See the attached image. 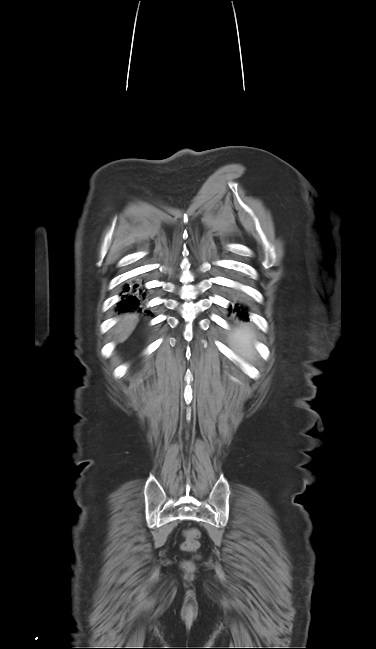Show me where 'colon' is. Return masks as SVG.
<instances>
[{"label": "colon", "instance_id": "5ec220e1", "mask_svg": "<svg viewBox=\"0 0 376 649\" xmlns=\"http://www.w3.org/2000/svg\"><path fill=\"white\" fill-rule=\"evenodd\" d=\"M200 533L197 529H188L184 532L182 548L186 551H194L199 547Z\"/></svg>", "mask_w": 376, "mask_h": 649}]
</instances>
